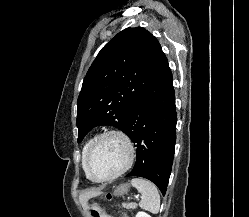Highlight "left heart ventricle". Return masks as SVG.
Listing matches in <instances>:
<instances>
[{"label":"left heart ventricle","mask_w":249,"mask_h":217,"mask_svg":"<svg viewBox=\"0 0 249 217\" xmlns=\"http://www.w3.org/2000/svg\"><path fill=\"white\" fill-rule=\"evenodd\" d=\"M127 157V147L119 137H105L97 143L92 152L90 170L95 177H108L125 165Z\"/></svg>","instance_id":"b2bd125f"}]
</instances>
